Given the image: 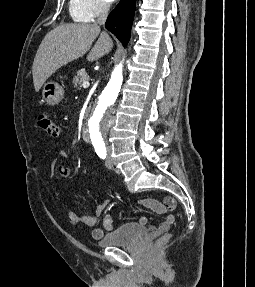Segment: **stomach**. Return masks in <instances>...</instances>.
<instances>
[{
	"label": "stomach",
	"mask_w": 255,
	"mask_h": 287,
	"mask_svg": "<svg viewBox=\"0 0 255 287\" xmlns=\"http://www.w3.org/2000/svg\"><path fill=\"white\" fill-rule=\"evenodd\" d=\"M42 98L48 106H56L64 98V90L57 82H47L42 90Z\"/></svg>",
	"instance_id": "1"
}]
</instances>
